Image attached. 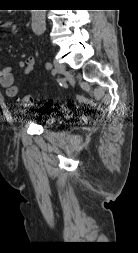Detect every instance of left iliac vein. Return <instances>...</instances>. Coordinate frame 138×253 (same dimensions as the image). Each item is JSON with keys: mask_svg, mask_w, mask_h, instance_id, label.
Segmentation results:
<instances>
[{"mask_svg": "<svg viewBox=\"0 0 138 253\" xmlns=\"http://www.w3.org/2000/svg\"><path fill=\"white\" fill-rule=\"evenodd\" d=\"M54 72L56 73H62L65 70V66L61 64L59 61L54 60Z\"/></svg>", "mask_w": 138, "mask_h": 253, "instance_id": "left-iliac-vein-1", "label": "left iliac vein"}]
</instances>
